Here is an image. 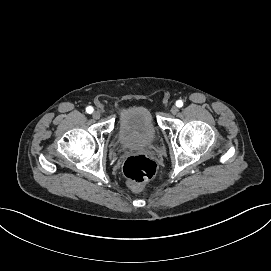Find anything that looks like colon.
Wrapping results in <instances>:
<instances>
[{"instance_id": "obj_1", "label": "colon", "mask_w": 271, "mask_h": 271, "mask_svg": "<svg viewBox=\"0 0 271 271\" xmlns=\"http://www.w3.org/2000/svg\"><path fill=\"white\" fill-rule=\"evenodd\" d=\"M122 169L129 186L138 189L155 175L156 163L144 155H133L125 160Z\"/></svg>"}]
</instances>
